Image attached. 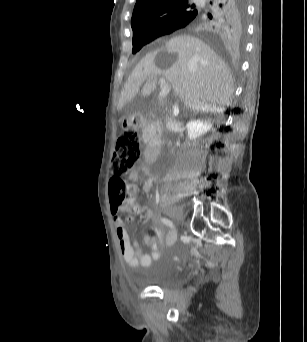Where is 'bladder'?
<instances>
[{"instance_id": "1", "label": "bladder", "mask_w": 307, "mask_h": 342, "mask_svg": "<svg viewBox=\"0 0 307 342\" xmlns=\"http://www.w3.org/2000/svg\"><path fill=\"white\" fill-rule=\"evenodd\" d=\"M180 275L178 270L165 259L154 261L147 277L148 285L158 288H169L178 283Z\"/></svg>"}]
</instances>
